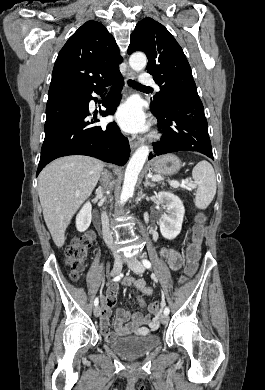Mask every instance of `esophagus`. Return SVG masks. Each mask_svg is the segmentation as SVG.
Returning a JSON list of instances; mask_svg holds the SVG:
<instances>
[{"label": "esophagus", "instance_id": "1", "mask_svg": "<svg viewBox=\"0 0 265 390\" xmlns=\"http://www.w3.org/2000/svg\"><path fill=\"white\" fill-rule=\"evenodd\" d=\"M126 77L127 79H134L135 78V73L131 70V69H128L127 72H126ZM139 142L137 141H134V140H130V148L131 150H135L138 146H139Z\"/></svg>", "mask_w": 265, "mask_h": 390}]
</instances>
